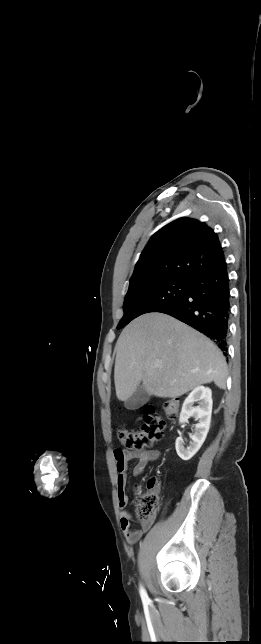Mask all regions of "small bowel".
<instances>
[{"instance_id": "c3829d8e", "label": "small bowel", "mask_w": 261, "mask_h": 644, "mask_svg": "<svg viewBox=\"0 0 261 644\" xmlns=\"http://www.w3.org/2000/svg\"><path fill=\"white\" fill-rule=\"evenodd\" d=\"M160 452L154 449H115L114 459L117 469V498L118 504L121 509L128 505V495L126 493L127 484V471L129 469V462L134 461L132 471L135 475L142 473L148 463L156 461L159 458ZM132 515L127 511L120 513V527L128 543H136L145 532L152 526V520L141 524V530L132 528L131 525Z\"/></svg>"}]
</instances>
